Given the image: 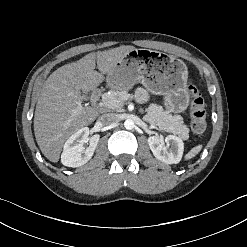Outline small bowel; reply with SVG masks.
Instances as JSON below:
<instances>
[{
    "label": "small bowel",
    "mask_w": 247,
    "mask_h": 247,
    "mask_svg": "<svg viewBox=\"0 0 247 247\" xmlns=\"http://www.w3.org/2000/svg\"><path fill=\"white\" fill-rule=\"evenodd\" d=\"M136 98L139 102L143 103L147 100V93L144 89L140 88L136 92Z\"/></svg>",
    "instance_id": "small-bowel-1"
}]
</instances>
